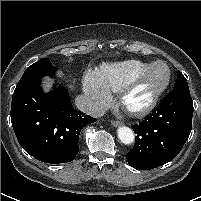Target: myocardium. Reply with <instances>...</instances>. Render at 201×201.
Instances as JSON below:
<instances>
[{"mask_svg": "<svg viewBox=\"0 0 201 201\" xmlns=\"http://www.w3.org/2000/svg\"><path fill=\"white\" fill-rule=\"evenodd\" d=\"M158 64H162L167 69V78L164 84L158 88L152 95L142 104L132 105L129 102V97L134 89L139 85V83L146 77V75ZM172 78V72L169 65L161 60L151 63L142 72L133 77L129 82H127L124 87L119 92V100L123 109L132 116L142 117L149 114L158 104L160 98L168 89Z\"/></svg>", "mask_w": 201, "mask_h": 201, "instance_id": "1", "label": "myocardium"}]
</instances>
